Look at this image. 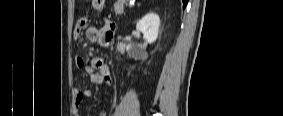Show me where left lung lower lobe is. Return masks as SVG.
Segmentation results:
<instances>
[{
	"label": "left lung lower lobe",
	"mask_w": 283,
	"mask_h": 116,
	"mask_svg": "<svg viewBox=\"0 0 283 116\" xmlns=\"http://www.w3.org/2000/svg\"><path fill=\"white\" fill-rule=\"evenodd\" d=\"M183 1V7L185 8L187 5L188 0H182Z\"/></svg>",
	"instance_id": "left-lung-lower-lobe-1"
}]
</instances>
